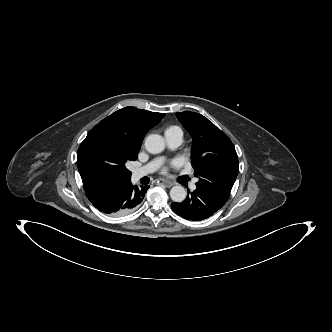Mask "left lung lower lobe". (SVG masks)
<instances>
[{
    "mask_svg": "<svg viewBox=\"0 0 332 332\" xmlns=\"http://www.w3.org/2000/svg\"><path fill=\"white\" fill-rule=\"evenodd\" d=\"M223 205L224 203L196 188L183 202H173L171 207L175 213L187 220L201 221L212 216Z\"/></svg>",
    "mask_w": 332,
    "mask_h": 332,
    "instance_id": "obj_1",
    "label": "left lung lower lobe"
}]
</instances>
